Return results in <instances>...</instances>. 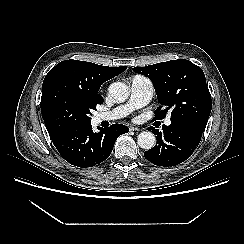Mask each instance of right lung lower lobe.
Returning <instances> with one entry per match:
<instances>
[{"label":"right lung lower lobe","mask_w":244,"mask_h":244,"mask_svg":"<svg viewBox=\"0 0 244 244\" xmlns=\"http://www.w3.org/2000/svg\"><path fill=\"white\" fill-rule=\"evenodd\" d=\"M99 130L100 132H93L91 124H83L52 132L50 137L67 162L87 168L106 160L116 139L129 131L128 127L122 124H113L109 128Z\"/></svg>","instance_id":"98d812e1"}]
</instances>
